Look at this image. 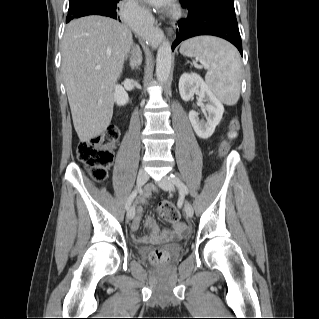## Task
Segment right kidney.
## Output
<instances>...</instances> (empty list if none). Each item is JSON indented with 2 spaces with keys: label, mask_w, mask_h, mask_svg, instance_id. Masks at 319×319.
<instances>
[{
  "label": "right kidney",
  "mask_w": 319,
  "mask_h": 319,
  "mask_svg": "<svg viewBox=\"0 0 319 319\" xmlns=\"http://www.w3.org/2000/svg\"><path fill=\"white\" fill-rule=\"evenodd\" d=\"M113 97L118 106L126 105L129 100L127 92L120 85L115 86Z\"/></svg>",
  "instance_id": "ca27d5eb"
}]
</instances>
